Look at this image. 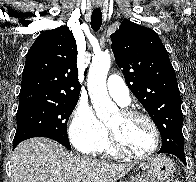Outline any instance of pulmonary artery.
Listing matches in <instances>:
<instances>
[{"instance_id": "pulmonary-artery-1", "label": "pulmonary artery", "mask_w": 196, "mask_h": 182, "mask_svg": "<svg viewBox=\"0 0 196 182\" xmlns=\"http://www.w3.org/2000/svg\"><path fill=\"white\" fill-rule=\"evenodd\" d=\"M107 91L120 105L126 106L130 103L129 90L121 77L110 76L107 80Z\"/></svg>"}]
</instances>
